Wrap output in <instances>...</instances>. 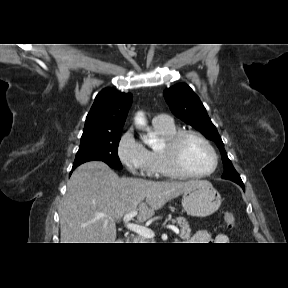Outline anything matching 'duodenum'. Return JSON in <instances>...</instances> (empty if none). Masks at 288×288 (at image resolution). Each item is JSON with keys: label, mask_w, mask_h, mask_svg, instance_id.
I'll return each mask as SVG.
<instances>
[{"label": "duodenum", "mask_w": 288, "mask_h": 288, "mask_svg": "<svg viewBox=\"0 0 288 288\" xmlns=\"http://www.w3.org/2000/svg\"><path fill=\"white\" fill-rule=\"evenodd\" d=\"M122 241H125L124 239ZM127 242H129V240H126ZM121 243H124V242H121Z\"/></svg>", "instance_id": "410a0bca"}]
</instances>
